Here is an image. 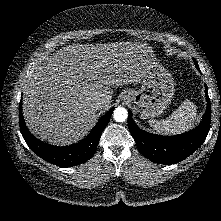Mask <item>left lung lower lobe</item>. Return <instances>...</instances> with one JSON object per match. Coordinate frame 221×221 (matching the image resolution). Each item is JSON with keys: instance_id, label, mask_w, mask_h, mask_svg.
Listing matches in <instances>:
<instances>
[{"instance_id": "0a47b994", "label": "left lung lower lobe", "mask_w": 221, "mask_h": 221, "mask_svg": "<svg viewBox=\"0 0 221 221\" xmlns=\"http://www.w3.org/2000/svg\"><path fill=\"white\" fill-rule=\"evenodd\" d=\"M199 69L198 65L196 66ZM207 110L200 124L193 130L176 135L152 134L137 127L129 111L128 127L136 145L146 158L158 164H175L194 153L204 142L211 121V106L206 87Z\"/></svg>"}]
</instances>
